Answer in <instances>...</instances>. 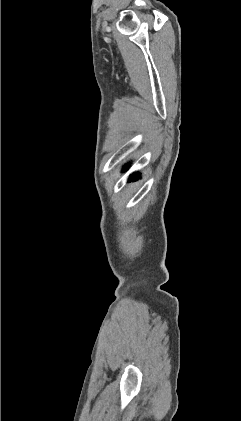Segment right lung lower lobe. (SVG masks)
I'll return each instance as SVG.
<instances>
[{
  "instance_id": "98d812e1",
  "label": "right lung lower lobe",
  "mask_w": 241,
  "mask_h": 421,
  "mask_svg": "<svg viewBox=\"0 0 241 421\" xmlns=\"http://www.w3.org/2000/svg\"><path fill=\"white\" fill-rule=\"evenodd\" d=\"M127 168H128V166H125V167H124V169H125V170H126ZM137 178H138V174H137V173L133 174V175H132V177H131V179H132V180H135V179H137Z\"/></svg>"
}]
</instances>
